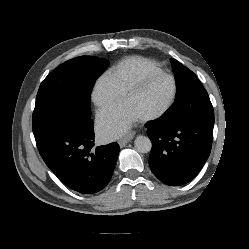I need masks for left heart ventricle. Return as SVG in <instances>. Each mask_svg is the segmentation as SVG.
<instances>
[{
	"label": "left heart ventricle",
	"mask_w": 249,
	"mask_h": 249,
	"mask_svg": "<svg viewBox=\"0 0 249 249\" xmlns=\"http://www.w3.org/2000/svg\"><path fill=\"white\" fill-rule=\"evenodd\" d=\"M172 93V82L166 77L151 80L142 89L125 99V103L139 116L161 109Z\"/></svg>",
	"instance_id": "b2bd125f"
}]
</instances>
